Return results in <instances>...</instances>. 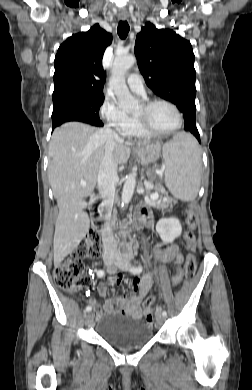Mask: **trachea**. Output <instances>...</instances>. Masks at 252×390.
Returning a JSON list of instances; mask_svg holds the SVG:
<instances>
[{
	"label": "trachea",
	"mask_w": 252,
	"mask_h": 390,
	"mask_svg": "<svg viewBox=\"0 0 252 390\" xmlns=\"http://www.w3.org/2000/svg\"><path fill=\"white\" fill-rule=\"evenodd\" d=\"M129 32V24L127 21H120L117 28V33L121 39H125Z\"/></svg>",
	"instance_id": "obj_1"
}]
</instances>
